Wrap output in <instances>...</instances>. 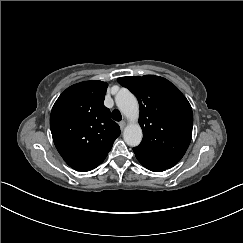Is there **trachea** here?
<instances>
[{
    "instance_id": "obj_1",
    "label": "trachea",
    "mask_w": 243,
    "mask_h": 243,
    "mask_svg": "<svg viewBox=\"0 0 243 243\" xmlns=\"http://www.w3.org/2000/svg\"><path fill=\"white\" fill-rule=\"evenodd\" d=\"M112 119L115 120V121H121L122 116H121V113H120L119 110H117V109L113 110Z\"/></svg>"
}]
</instances>
